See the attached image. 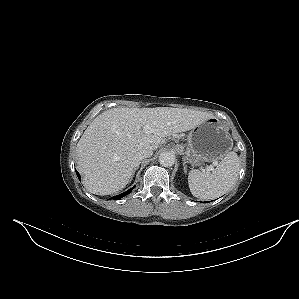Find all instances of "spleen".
I'll return each mask as SVG.
<instances>
[{"mask_svg":"<svg viewBox=\"0 0 299 299\" xmlns=\"http://www.w3.org/2000/svg\"><path fill=\"white\" fill-rule=\"evenodd\" d=\"M239 173V158L229 152L211 172L191 170L188 184L194 197L209 200L225 194L236 182Z\"/></svg>","mask_w":299,"mask_h":299,"instance_id":"1","label":"spleen"}]
</instances>
